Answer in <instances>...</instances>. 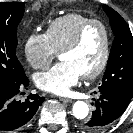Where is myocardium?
I'll return each mask as SVG.
<instances>
[{
  "instance_id": "f54148a6",
  "label": "myocardium",
  "mask_w": 133,
  "mask_h": 133,
  "mask_svg": "<svg viewBox=\"0 0 133 133\" xmlns=\"http://www.w3.org/2000/svg\"><path fill=\"white\" fill-rule=\"evenodd\" d=\"M93 25H97L103 30L104 38H105L104 48H103V54H102L101 60L97 65V67L91 72L81 75V77L85 80H92L97 78L105 70L109 62L110 53H111V32L109 27L99 19H89L88 21H86L80 26V28L77 30V32L72 37V39L60 51V55H61L65 52H68L77 48L81 43L88 28H90Z\"/></svg>"
}]
</instances>
